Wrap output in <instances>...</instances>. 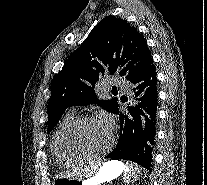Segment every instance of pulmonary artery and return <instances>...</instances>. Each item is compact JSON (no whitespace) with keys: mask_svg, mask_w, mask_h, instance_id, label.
Wrapping results in <instances>:
<instances>
[{"mask_svg":"<svg viewBox=\"0 0 207 185\" xmlns=\"http://www.w3.org/2000/svg\"><path fill=\"white\" fill-rule=\"evenodd\" d=\"M112 85L113 86H122V81H113ZM123 90L128 91L129 88H123Z\"/></svg>","mask_w":207,"mask_h":185,"instance_id":"pulmonary-artery-1","label":"pulmonary artery"}]
</instances>
